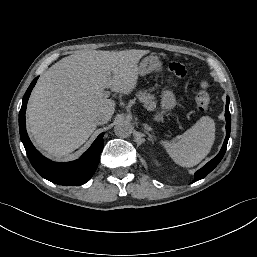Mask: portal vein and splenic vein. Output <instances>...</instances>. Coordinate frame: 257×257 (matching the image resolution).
<instances>
[{"label":"portal vein and splenic vein","mask_w":257,"mask_h":257,"mask_svg":"<svg viewBox=\"0 0 257 257\" xmlns=\"http://www.w3.org/2000/svg\"><path fill=\"white\" fill-rule=\"evenodd\" d=\"M109 95H110V92H109V91H104V96H105V97H109Z\"/></svg>","instance_id":"1"}]
</instances>
